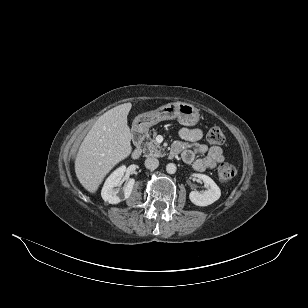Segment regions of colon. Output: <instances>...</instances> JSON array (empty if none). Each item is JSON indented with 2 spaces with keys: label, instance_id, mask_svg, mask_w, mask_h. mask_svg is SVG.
<instances>
[{
  "label": "colon",
  "instance_id": "1",
  "mask_svg": "<svg viewBox=\"0 0 308 308\" xmlns=\"http://www.w3.org/2000/svg\"><path fill=\"white\" fill-rule=\"evenodd\" d=\"M224 140V133L219 127H213L208 131L207 141L210 145H220ZM235 173V167L229 163H222L217 170L218 179L221 182H229L235 176Z\"/></svg>",
  "mask_w": 308,
  "mask_h": 308
}]
</instances>
